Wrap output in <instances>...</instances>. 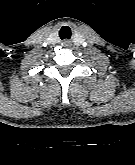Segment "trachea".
I'll return each mask as SVG.
<instances>
[{"label":"trachea","mask_w":135,"mask_h":165,"mask_svg":"<svg viewBox=\"0 0 135 165\" xmlns=\"http://www.w3.org/2000/svg\"><path fill=\"white\" fill-rule=\"evenodd\" d=\"M59 36L62 40L71 38V29L68 26H63L59 31Z\"/></svg>","instance_id":"trachea-1"}]
</instances>
